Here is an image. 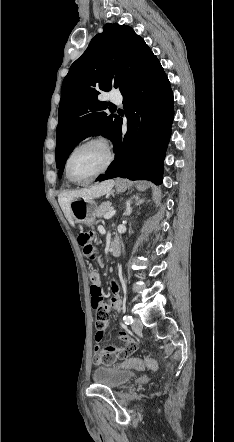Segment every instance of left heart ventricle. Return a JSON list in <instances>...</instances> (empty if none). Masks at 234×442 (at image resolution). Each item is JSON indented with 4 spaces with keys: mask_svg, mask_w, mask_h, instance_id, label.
Masks as SVG:
<instances>
[{
    "mask_svg": "<svg viewBox=\"0 0 234 442\" xmlns=\"http://www.w3.org/2000/svg\"><path fill=\"white\" fill-rule=\"evenodd\" d=\"M107 159L100 145H89L79 149L70 161V173L76 180H85L98 172Z\"/></svg>",
    "mask_w": 234,
    "mask_h": 442,
    "instance_id": "left-heart-ventricle-1",
    "label": "left heart ventricle"
}]
</instances>
